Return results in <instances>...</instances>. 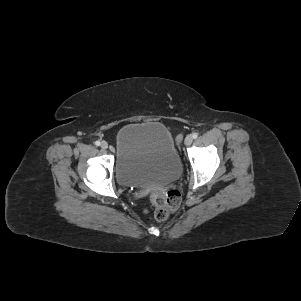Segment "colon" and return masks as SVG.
<instances>
[{"instance_id": "5ec220e1", "label": "colon", "mask_w": 301, "mask_h": 301, "mask_svg": "<svg viewBox=\"0 0 301 301\" xmlns=\"http://www.w3.org/2000/svg\"><path fill=\"white\" fill-rule=\"evenodd\" d=\"M182 136L177 137V142ZM150 202L154 206V217L157 221L163 222L168 219L181 203V193L178 190H169L166 192L154 191L150 194Z\"/></svg>"}]
</instances>
